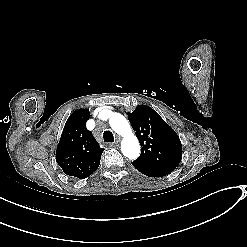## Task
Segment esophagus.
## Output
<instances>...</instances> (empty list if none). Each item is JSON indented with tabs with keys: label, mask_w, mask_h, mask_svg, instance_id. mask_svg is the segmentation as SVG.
Masks as SVG:
<instances>
[{
	"label": "esophagus",
	"mask_w": 247,
	"mask_h": 247,
	"mask_svg": "<svg viewBox=\"0 0 247 247\" xmlns=\"http://www.w3.org/2000/svg\"><path fill=\"white\" fill-rule=\"evenodd\" d=\"M118 145H119V142L117 141L115 144H112L111 146L116 147V146H118Z\"/></svg>",
	"instance_id": "1"
}]
</instances>
